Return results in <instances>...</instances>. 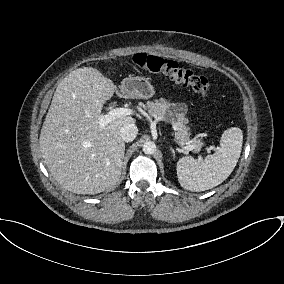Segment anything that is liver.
I'll use <instances>...</instances> for the list:
<instances>
[{"instance_id":"1","label":"liver","mask_w":284,"mask_h":284,"mask_svg":"<svg viewBox=\"0 0 284 284\" xmlns=\"http://www.w3.org/2000/svg\"><path fill=\"white\" fill-rule=\"evenodd\" d=\"M115 90L113 81L92 67L70 72L56 88L39 145L51 175L68 191L96 194L120 179L125 152L120 129L135 120L124 116L104 128L98 123Z\"/></svg>"}]
</instances>
